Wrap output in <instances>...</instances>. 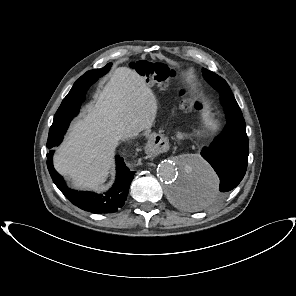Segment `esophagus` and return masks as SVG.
Wrapping results in <instances>:
<instances>
[{
	"label": "esophagus",
	"mask_w": 296,
	"mask_h": 296,
	"mask_svg": "<svg viewBox=\"0 0 296 296\" xmlns=\"http://www.w3.org/2000/svg\"><path fill=\"white\" fill-rule=\"evenodd\" d=\"M168 147V139L163 135H151L142 146L143 152L150 157H161Z\"/></svg>",
	"instance_id": "esophagus-1"
}]
</instances>
